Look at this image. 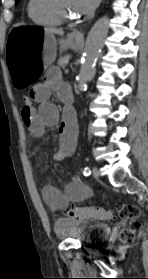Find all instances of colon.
<instances>
[{"label": "colon", "mask_w": 148, "mask_h": 279, "mask_svg": "<svg viewBox=\"0 0 148 279\" xmlns=\"http://www.w3.org/2000/svg\"><path fill=\"white\" fill-rule=\"evenodd\" d=\"M23 101L26 106H30L33 103V99L29 93L24 96ZM66 214L73 219L110 220L113 217L110 211L98 206L71 207L66 210ZM117 214L121 220L128 222V226L120 233L121 241L123 243H128L132 241L141 230L142 225L139 221L141 215L140 208L134 204L119 203L117 205Z\"/></svg>", "instance_id": "5ec220e1"}]
</instances>
